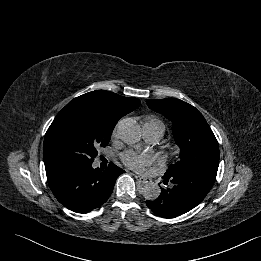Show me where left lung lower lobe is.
<instances>
[{"label": "left lung lower lobe", "mask_w": 261, "mask_h": 261, "mask_svg": "<svg viewBox=\"0 0 261 261\" xmlns=\"http://www.w3.org/2000/svg\"><path fill=\"white\" fill-rule=\"evenodd\" d=\"M165 185L171 181L174 186L162 189L158 199L146 201L147 206L157 215L174 218L196 207L211 190L216 177L199 172L184 171L163 176Z\"/></svg>", "instance_id": "1"}]
</instances>
